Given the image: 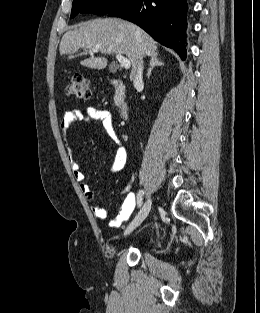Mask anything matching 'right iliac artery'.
I'll return each instance as SVG.
<instances>
[{"label": "right iliac artery", "mask_w": 260, "mask_h": 313, "mask_svg": "<svg viewBox=\"0 0 260 313\" xmlns=\"http://www.w3.org/2000/svg\"><path fill=\"white\" fill-rule=\"evenodd\" d=\"M144 195V191L140 190L138 193V207L142 205V196Z\"/></svg>", "instance_id": "obj_1"}]
</instances>
